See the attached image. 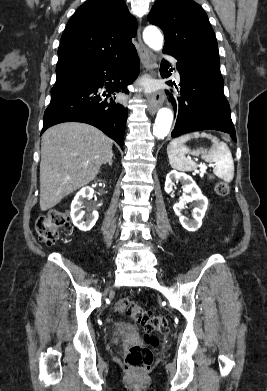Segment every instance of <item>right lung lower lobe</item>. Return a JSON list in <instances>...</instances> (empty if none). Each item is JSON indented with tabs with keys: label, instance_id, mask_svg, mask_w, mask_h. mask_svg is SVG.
Masks as SVG:
<instances>
[{
	"label": "right lung lower lobe",
	"instance_id": "obj_1",
	"mask_svg": "<svg viewBox=\"0 0 267 391\" xmlns=\"http://www.w3.org/2000/svg\"><path fill=\"white\" fill-rule=\"evenodd\" d=\"M139 70L140 62L134 49L122 57L88 66L57 80L44 113L41 133L58 123L83 122L99 128L122 148L127 110L113 99H102L99 88L105 83L107 97L115 92L126 93L127 85L138 76Z\"/></svg>",
	"mask_w": 267,
	"mask_h": 391
}]
</instances>
